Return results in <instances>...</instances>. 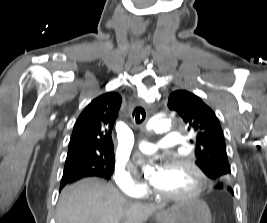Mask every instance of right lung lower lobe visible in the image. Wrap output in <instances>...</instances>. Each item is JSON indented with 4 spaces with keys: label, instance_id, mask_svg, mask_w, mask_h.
I'll return each mask as SVG.
<instances>
[{
    "label": "right lung lower lobe",
    "instance_id": "98d812e1",
    "mask_svg": "<svg viewBox=\"0 0 267 223\" xmlns=\"http://www.w3.org/2000/svg\"><path fill=\"white\" fill-rule=\"evenodd\" d=\"M89 176L102 177L96 173H89V172H84V171H80V170H75V171H71V172L64 171L63 177L61 180V184H60V190L68 183H71L75 180H78V179H81L84 177H89Z\"/></svg>",
    "mask_w": 267,
    "mask_h": 223
}]
</instances>
